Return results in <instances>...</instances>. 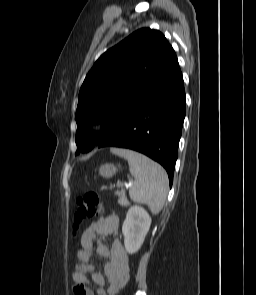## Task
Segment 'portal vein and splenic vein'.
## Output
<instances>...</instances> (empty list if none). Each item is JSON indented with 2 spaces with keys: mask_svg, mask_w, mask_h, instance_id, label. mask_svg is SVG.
I'll use <instances>...</instances> for the list:
<instances>
[{
  "mask_svg": "<svg viewBox=\"0 0 256 295\" xmlns=\"http://www.w3.org/2000/svg\"><path fill=\"white\" fill-rule=\"evenodd\" d=\"M131 185H132V183L125 184L126 187H130ZM117 186H118V187H122V186H124V184L121 183V182H117Z\"/></svg>",
  "mask_w": 256,
  "mask_h": 295,
  "instance_id": "obj_1",
  "label": "portal vein and splenic vein"
}]
</instances>
